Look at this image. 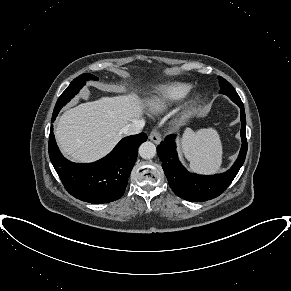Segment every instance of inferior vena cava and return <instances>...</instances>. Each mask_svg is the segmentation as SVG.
I'll return each instance as SVG.
<instances>
[{
	"label": "inferior vena cava",
	"mask_w": 291,
	"mask_h": 291,
	"mask_svg": "<svg viewBox=\"0 0 291 291\" xmlns=\"http://www.w3.org/2000/svg\"><path fill=\"white\" fill-rule=\"evenodd\" d=\"M143 120H134L132 123L127 124L123 129L122 133L125 135H134L140 133L144 126Z\"/></svg>",
	"instance_id": "inferior-vena-cava-1"
}]
</instances>
